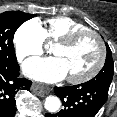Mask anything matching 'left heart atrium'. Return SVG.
I'll return each instance as SVG.
<instances>
[{
  "label": "left heart atrium",
  "mask_w": 117,
  "mask_h": 117,
  "mask_svg": "<svg viewBox=\"0 0 117 117\" xmlns=\"http://www.w3.org/2000/svg\"><path fill=\"white\" fill-rule=\"evenodd\" d=\"M24 72L38 81L53 83L66 77V70L58 57L31 59L24 65Z\"/></svg>",
  "instance_id": "left-heart-atrium-1"
}]
</instances>
